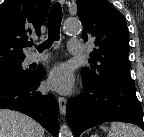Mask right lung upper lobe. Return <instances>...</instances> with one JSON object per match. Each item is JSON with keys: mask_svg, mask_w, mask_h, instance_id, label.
Here are the masks:
<instances>
[{"mask_svg": "<svg viewBox=\"0 0 144 137\" xmlns=\"http://www.w3.org/2000/svg\"><path fill=\"white\" fill-rule=\"evenodd\" d=\"M50 0H5L0 5V69L25 58L28 34L41 35Z\"/></svg>", "mask_w": 144, "mask_h": 137, "instance_id": "1", "label": "right lung upper lobe"}]
</instances>
